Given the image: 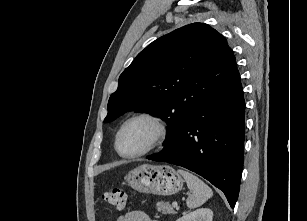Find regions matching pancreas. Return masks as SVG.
I'll return each instance as SVG.
<instances>
[{
    "mask_svg": "<svg viewBox=\"0 0 307 221\" xmlns=\"http://www.w3.org/2000/svg\"><path fill=\"white\" fill-rule=\"evenodd\" d=\"M156 208L158 212L163 214H175L173 207L168 202H158L156 204Z\"/></svg>",
    "mask_w": 307,
    "mask_h": 221,
    "instance_id": "pancreas-1",
    "label": "pancreas"
}]
</instances>
